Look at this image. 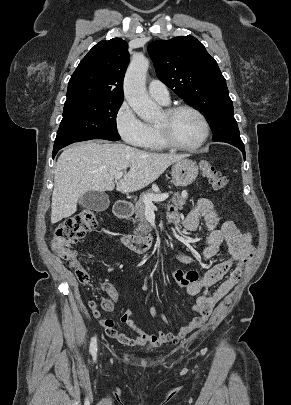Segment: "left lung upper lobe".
<instances>
[{
    "label": "left lung upper lobe",
    "instance_id": "left-lung-upper-lobe-1",
    "mask_svg": "<svg viewBox=\"0 0 291 405\" xmlns=\"http://www.w3.org/2000/svg\"><path fill=\"white\" fill-rule=\"evenodd\" d=\"M157 77L207 119L216 142L243 143L233 103L217 62L193 36L148 45Z\"/></svg>",
    "mask_w": 291,
    "mask_h": 405
}]
</instances>
